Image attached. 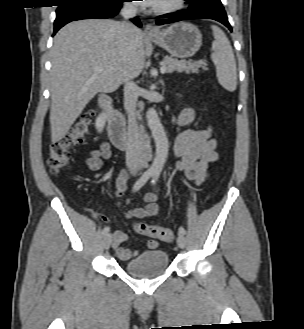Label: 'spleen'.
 <instances>
[{"label":"spleen","instance_id":"1","mask_svg":"<svg viewBox=\"0 0 304 329\" xmlns=\"http://www.w3.org/2000/svg\"><path fill=\"white\" fill-rule=\"evenodd\" d=\"M214 41L212 43L211 59L216 67V76L220 85L233 92L237 87L236 61L230 42L224 32L217 26H212Z\"/></svg>","mask_w":304,"mask_h":329}]
</instances>
